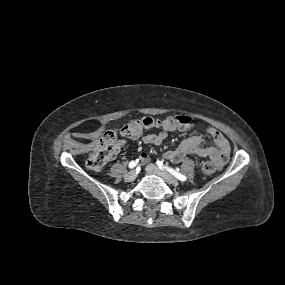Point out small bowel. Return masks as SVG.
Instances as JSON below:
<instances>
[{
    "label": "small bowel",
    "mask_w": 285,
    "mask_h": 285,
    "mask_svg": "<svg viewBox=\"0 0 285 285\" xmlns=\"http://www.w3.org/2000/svg\"><path fill=\"white\" fill-rule=\"evenodd\" d=\"M152 128L159 129V131L155 133L144 134L142 136V142L144 144L160 145L167 139L170 132L176 130L173 127H167L159 124L155 125ZM205 132L209 137L213 139L215 146H203L202 143L204 141V138L200 135L194 134L185 138L175 149L166 152V159L178 164L187 155L194 154L201 158L209 157L216 163L218 168H222L225 165L230 153L229 142L221 133H219L214 128H207ZM148 159L149 157L147 154H141V160L143 162L148 161Z\"/></svg>",
    "instance_id": "small-bowel-1"
}]
</instances>
